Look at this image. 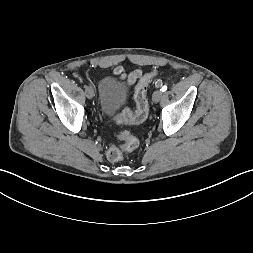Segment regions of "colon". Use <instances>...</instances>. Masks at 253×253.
<instances>
[{"label": "colon", "mask_w": 253, "mask_h": 253, "mask_svg": "<svg viewBox=\"0 0 253 253\" xmlns=\"http://www.w3.org/2000/svg\"><path fill=\"white\" fill-rule=\"evenodd\" d=\"M157 75L156 72L148 73L144 75L137 86L135 87L134 99L136 103L135 111L130 109H124L116 118L117 122L137 125L143 123L148 115V101L146 97V91L148 85L151 83L153 78ZM120 139L125 141L124 146L112 145L108 148L106 156L111 162H118L123 158L125 150H133L138 142L137 139L129 132L125 131L118 135Z\"/></svg>", "instance_id": "1"}]
</instances>
